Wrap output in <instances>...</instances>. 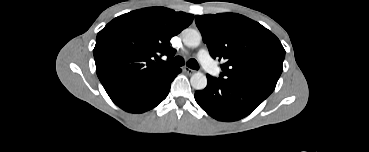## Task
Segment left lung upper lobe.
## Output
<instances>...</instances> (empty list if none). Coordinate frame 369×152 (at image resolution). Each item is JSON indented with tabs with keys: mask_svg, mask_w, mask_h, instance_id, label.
Masks as SVG:
<instances>
[{
	"mask_svg": "<svg viewBox=\"0 0 369 152\" xmlns=\"http://www.w3.org/2000/svg\"><path fill=\"white\" fill-rule=\"evenodd\" d=\"M195 22L210 55L225 62L222 81L273 92L285 50L272 32L236 13L197 15Z\"/></svg>",
	"mask_w": 369,
	"mask_h": 152,
	"instance_id": "1",
	"label": "left lung upper lobe"
}]
</instances>
